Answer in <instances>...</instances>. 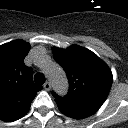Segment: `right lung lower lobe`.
<instances>
[{
  "label": "right lung lower lobe",
  "instance_id": "obj_1",
  "mask_svg": "<svg viewBox=\"0 0 128 128\" xmlns=\"http://www.w3.org/2000/svg\"><path fill=\"white\" fill-rule=\"evenodd\" d=\"M28 112V111H27ZM27 112H25L23 115H21L20 117H18L17 119H19V118H21V117H23ZM17 119H15V120H17ZM14 121V120H13Z\"/></svg>",
  "mask_w": 128,
  "mask_h": 128
}]
</instances>
